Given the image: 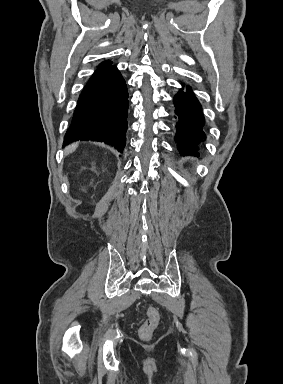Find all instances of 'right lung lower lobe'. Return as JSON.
<instances>
[{
	"label": "right lung lower lobe",
	"instance_id": "1",
	"mask_svg": "<svg viewBox=\"0 0 283 384\" xmlns=\"http://www.w3.org/2000/svg\"><path fill=\"white\" fill-rule=\"evenodd\" d=\"M128 92L115 65L98 67L83 88L63 146L100 141L122 152L126 144Z\"/></svg>",
	"mask_w": 283,
	"mask_h": 384
}]
</instances>
